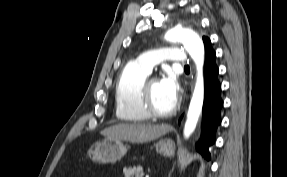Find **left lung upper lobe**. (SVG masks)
Here are the masks:
<instances>
[{"label":"left lung upper lobe","mask_w":287,"mask_h":177,"mask_svg":"<svg viewBox=\"0 0 287 177\" xmlns=\"http://www.w3.org/2000/svg\"><path fill=\"white\" fill-rule=\"evenodd\" d=\"M209 38L208 37H203V41L205 42L206 40H208Z\"/></svg>","instance_id":"1"}]
</instances>
